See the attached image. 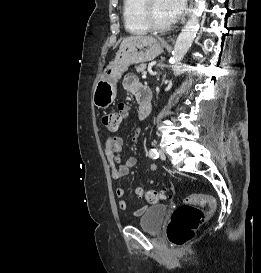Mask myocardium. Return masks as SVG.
I'll use <instances>...</instances> for the list:
<instances>
[{
	"label": "myocardium",
	"mask_w": 261,
	"mask_h": 273,
	"mask_svg": "<svg viewBox=\"0 0 261 273\" xmlns=\"http://www.w3.org/2000/svg\"><path fill=\"white\" fill-rule=\"evenodd\" d=\"M154 0H143L142 18L150 30L153 31H167L172 27V23L161 25L159 24L153 14Z\"/></svg>",
	"instance_id": "1"
}]
</instances>
